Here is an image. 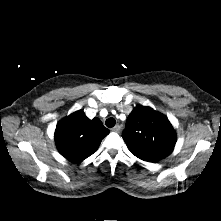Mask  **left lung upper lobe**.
<instances>
[{"mask_svg":"<svg viewBox=\"0 0 221 221\" xmlns=\"http://www.w3.org/2000/svg\"><path fill=\"white\" fill-rule=\"evenodd\" d=\"M122 137L130 152L147 162L164 159L172 153L176 143L168 118L145 106H138L130 113Z\"/></svg>","mask_w":221,"mask_h":221,"instance_id":"left-lung-upper-lobe-1","label":"left lung upper lobe"}]
</instances>
